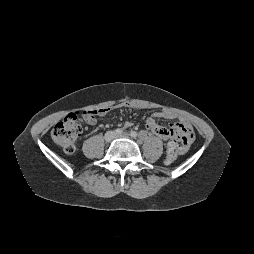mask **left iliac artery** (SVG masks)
Instances as JSON below:
<instances>
[{
	"label": "left iliac artery",
	"mask_w": 254,
	"mask_h": 254,
	"mask_svg": "<svg viewBox=\"0 0 254 254\" xmlns=\"http://www.w3.org/2000/svg\"><path fill=\"white\" fill-rule=\"evenodd\" d=\"M130 135L133 137V138H136L138 136V133L135 132V131H131L130 132Z\"/></svg>",
	"instance_id": "44dca946"
}]
</instances>
